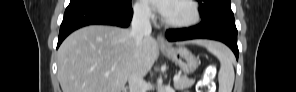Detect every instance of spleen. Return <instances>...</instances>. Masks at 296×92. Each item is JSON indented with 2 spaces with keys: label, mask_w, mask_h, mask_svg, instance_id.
I'll return each mask as SVG.
<instances>
[{
  "label": "spleen",
  "mask_w": 296,
  "mask_h": 92,
  "mask_svg": "<svg viewBox=\"0 0 296 92\" xmlns=\"http://www.w3.org/2000/svg\"><path fill=\"white\" fill-rule=\"evenodd\" d=\"M206 47L220 61L218 73L219 92H232L235 74L231 51L221 43L215 42H209Z\"/></svg>",
  "instance_id": "obj_1"
}]
</instances>
